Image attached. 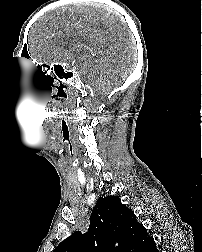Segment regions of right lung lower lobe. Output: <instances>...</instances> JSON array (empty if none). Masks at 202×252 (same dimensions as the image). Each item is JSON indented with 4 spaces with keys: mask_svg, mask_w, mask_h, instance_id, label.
I'll use <instances>...</instances> for the list:
<instances>
[{
    "mask_svg": "<svg viewBox=\"0 0 202 252\" xmlns=\"http://www.w3.org/2000/svg\"><path fill=\"white\" fill-rule=\"evenodd\" d=\"M146 252H159L158 249L156 248V244H152Z\"/></svg>",
    "mask_w": 202,
    "mask_h": 252,
    "instance_id": "1",
    "label": "right lung lower lobe"
}]
</instances>
